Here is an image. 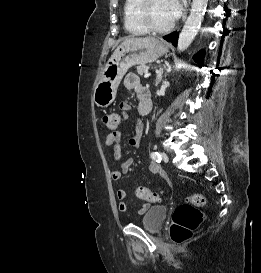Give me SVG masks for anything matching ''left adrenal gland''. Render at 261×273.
Segmentation results:
<instances>
[{
  "label": "left adrenal gland",
  "instance_id": "obj_1",
  "mask_svg": "<svg viewBox=\"0 0 261 273\" xmlns=\"http://www.w3.org/2000/svg\"><path fill=\"white\" fill-rule=\"evenodd\" d=\"M162 77H163V67H160L159 71L157 72V77L155 81L156 86L162 81Z\"/></svg>",
  "mask_w": 261,
  "mask_h": 273
}]
</instances>
